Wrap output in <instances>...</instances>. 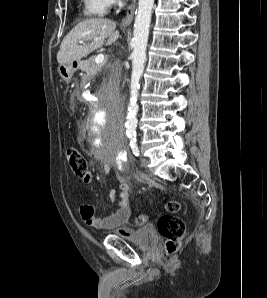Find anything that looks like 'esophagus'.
I'll use <instances>...</instances> for the list:
<instances>
[{
    "mask_svg": "<svg viewBox=\"0 0 267 298\" xmlns=\"http://www.w3.org/2000/svg\"><path fill=\"white\" fill-rule=\"evenodd\" d=\"M136 2L137 0H132V3L129 5L125 17L122 19L121 24L123 26H128L131 24L133 18H134V12L136 8Z\"/></svg>",
    "mask_w": 267,
    "mask_h": 298,
    "instance_id": "34e87169",
    "label": "esophagus"
}]
</instances>
